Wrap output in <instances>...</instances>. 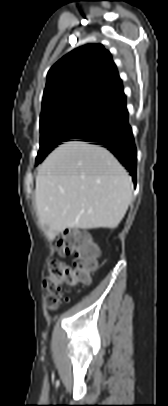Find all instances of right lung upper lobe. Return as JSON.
<instances>
[{
	"label": "right lung upper lobe",
	"instance_id": "cb5924a9",
	"mask_svg": "<svg viewBox=\"0 0 168 406\" xmlns=\"http://www.w3.org/2000/svg\"><path fill=\"white\" fill-rule=\"evenodd\" d=\"M122 94V81L110 52L101 44H88L71 51L49 70L41 117L83 102L110 104Z\"/></svg>",
	"mask_w": 168,
	"mask_h": 406
}]
</instances>
